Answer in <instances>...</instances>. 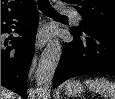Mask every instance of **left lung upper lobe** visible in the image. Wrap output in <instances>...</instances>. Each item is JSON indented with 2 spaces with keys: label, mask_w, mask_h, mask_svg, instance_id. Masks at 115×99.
<instances>
[{
  "label": "left lung upper lobe",
  "mask_w": 115,
  "mask_h": 99,
  "mask_svg": "<svg viewBox=\"0 0 115 99\" xmlns=\"http://www.w3.org/2000/svg\"><path fill=\"white\" fill-rule=\"evenodd\" d=\"M83 16L78 27H72L77 33L99 31L115 34V0H63Z\"/></svg>",
  "instance_id": "1"
}]
</instances>
